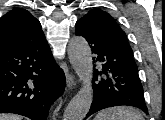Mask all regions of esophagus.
<instances>
[{"label":"esophagus","instance_id":"34e87169","mask_svg":"<svg viewBox=\"0 0 165 120\" xmlns=\"http://www.w3.org/2000/svg\"><path fill=\"white\" fill-rule=\"evenodd\" d=\"M67 82H68V87H72L75 84L74 77L72 75H68Z\"/></svg>","mask_w":165,"mask_h":120}]
</instances>
